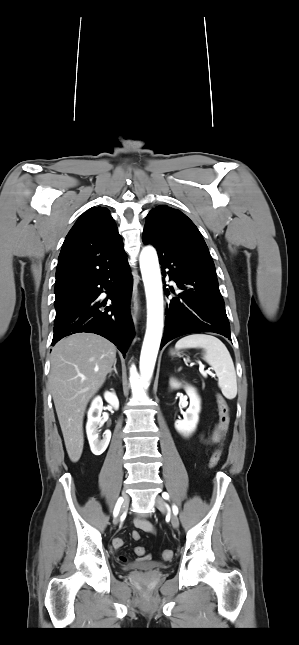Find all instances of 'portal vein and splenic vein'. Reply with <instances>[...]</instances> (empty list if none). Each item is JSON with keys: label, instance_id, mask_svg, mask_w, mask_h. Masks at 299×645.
Returning <instances> with one entry per match:
<instances>
[{"label": "portal vein and splenic vein", "instance_id": "obj_1", "mask_svg": "<svg viewBox=\"0 0 299 645\" xmlns=\"http://www.w3.org/2000/svg\"><path fill=\"white\" fill-rule=\"evenodd\" d=\"M200 372L204 374V366H200Z\"/></svg>", "mask_w": 299, "mask_h": 645}]
</instances>
